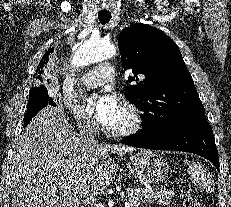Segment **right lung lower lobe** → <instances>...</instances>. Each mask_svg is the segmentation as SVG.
I'll return each mask as SVG.
<instances>
[{"mask_svg":"<svg viewBox=\"0 0 231 207\" xmlns=\"http://www.w3.org/2000/svg\"><path fill=\"white\" fill-rule=\"evenodd\" d=\"M48 104L56 106L55 102L48 96L47 89L40 90L34 100L28 103L27 111L24 116V127L28 125L31 119L45 106Z\"/></svg>","mask_w":231,"mask_h":207,"instance_id":"98d812e1","label":"right lung lower lobe"}]
</instances>
